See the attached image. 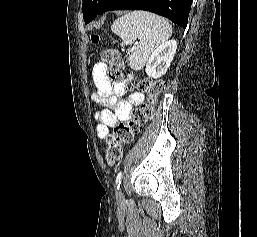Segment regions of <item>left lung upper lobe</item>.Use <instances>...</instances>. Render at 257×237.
Returning <instances> with one entry per match:
<instances>
[{
  "label": "left lung upper lobe",
  "mask_w": 257,
  "mask_h": 237,
  "mask_svg": "<svg viewBox=\"0 0 257 237\" xmlns=\"http://www.w3.org/2000/svg\"><path fill=\"white\" fill-rule=\"evenodd\" d=\"M108 0H83L82 12L85 23L93 20Z\"/></svg>",
  "instance_id": "5c2ea615"
}]
</instances>
